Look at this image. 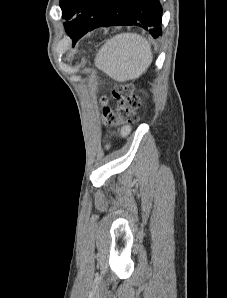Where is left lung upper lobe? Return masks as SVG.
<instances>
[{
    "mask_svg": "<svg viewBox=\"0 0 227 298\" xmlns=\"http://www.w3.org/2000/svg\"><path fill=\"white\" fill-rule=\"evenodd\" d=\"M106 0H60L65 30L76 41L91 31L101 15Z\"/></svg>",
    "mask_w": 227,
    "mask_h": 298,
    "instance_id": "obj_1",
    "label": "left lung upper lobe"
}]
</instances>
